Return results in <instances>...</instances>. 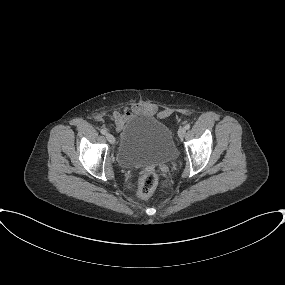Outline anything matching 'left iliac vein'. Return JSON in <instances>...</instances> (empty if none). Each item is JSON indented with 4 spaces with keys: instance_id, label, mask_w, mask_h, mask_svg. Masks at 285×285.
Returning <instances> with one entry per match:
<instances>
[{
    "instance_id": "1",
    "label": "left iliac vein",
    "mask_w": 285,
    "mask_h": 285,
    "mask_svg": "<svg viewBox=\"0 0 285 285\" xmlns=\"http://www.w3.org/2000/svg\"><path fill=\"white\" fill-rule=\"evenodd\" d=\"M186 134V129L184 127H180L179 130H178V136L180 138H183Z\"/></svg>"
}]
</instances>
